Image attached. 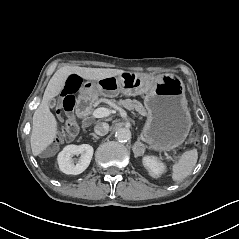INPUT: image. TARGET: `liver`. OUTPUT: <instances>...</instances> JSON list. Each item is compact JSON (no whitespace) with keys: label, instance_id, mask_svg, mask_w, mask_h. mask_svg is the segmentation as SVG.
Masks as SVG:
<instances>
[{"label":"liver","instance_id":"liver-1","mask_svg":"<svg viewBox=\"0 0 239 239\" xmlns=\"http://www.w3.org/2000/svg\"><path fill=\"white\" fill-rule=\"evenodd\" d=\"M126 72L115 68H90L80 66H62L56 70L44 91L39 107L34 111L32 117V132L30 145L34 157L39 156L57 138L58 122L50 112L48 101L57 96L66 85L71 75H78L86 81H98L100 79L115 77Z\"/></svg>","mask_w":239,"mask_h":239}]
</instances>
